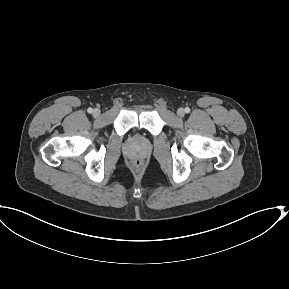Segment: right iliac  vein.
<instances>
[{
  "label": "right iliac vein",
  "instance_id": "63e3f726",
  "mask_svg": "<svg viewBox=\"0 0 289 289\" xmlns=\"http://www.w3.org/2000/svg\"><path fill=\"white\" fill-rule=\"evenodd\" d=\"M93 115L95 116V117H98L99 115H100V110L99 109H94L93 110Z\"/></svg>",
  "mask_w": 289,
  "mask_h": 289
}]
</instances>
